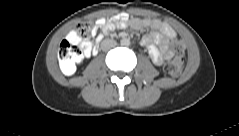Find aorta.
<instances>
[{
	"label": "aorta",
	"mask_w": 239,
	"mask_h": 136,
	"mask_svg": "<svg viewBox=\"0 0 239 136\" xmlns=\"http://www.w3.org/2000/svg\"><path fill=\"white\" fill-rule=\"evenodd\" d=\"M120 43H121L122 46H129L130 45V40L128 38H123L120 41Z\"/></svg>",
	"instance_id": "1"
}]
</instances>
